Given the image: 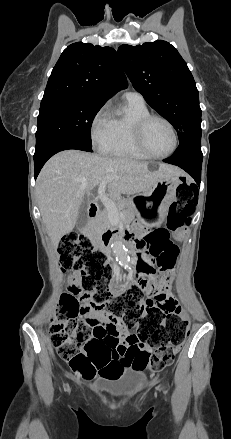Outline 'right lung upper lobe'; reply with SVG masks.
I'll use <instances>...</instances> for the list:
<instances>
[{"label":"right lung upper lobe","mask_w":231,"mask_h":439,"mask_svg":"<svg viewBox=\"0 0 231 439\" xmlns=\"http://www.w3.org/2000/svg\"><path fill=\"white\" fill-rule=\"evenodd\" d=\"M126 86V78L113 48L77 42L61 54L41 102L86 99L105 103Z\"/></svg>","instance_id":"1"}]
</instances>
